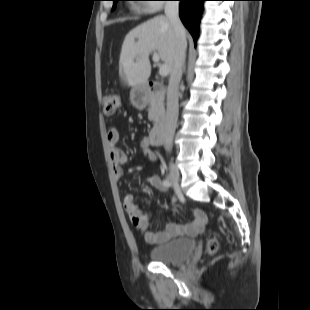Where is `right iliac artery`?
Returning a JSON list of instances; mask_svg holds the SVG:
<instances>
[{
	"instance_id": "right-iliac-artery-1",
	"label": "right iliac artery",
	"mask_w": 310,
	"mask_h": 310,
	"mask_svg": "<svg viewBox=\"0 0 310 310\" xmlns=\"http://www.w3.org/2000/svg\"><path fill=\"white\" fill-rule=\"evenodd\" d=\"M163 184L166 187H170L171 186V181L169 179H165V180H163Z\"/></svg>"
}]
</instances>
